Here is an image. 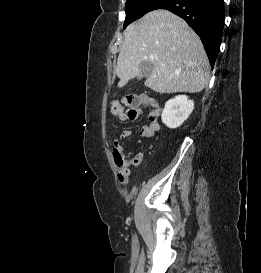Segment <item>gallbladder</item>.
Returning <instances> with one entry per match:
<instances>
[{
  "label": "gallbladder",
  "instance_id": "1",
  "mask_svg": "<svg viewBox=\"0 0 261 273\" xmlns=\"http://www.w3.org/2000/svg\"><path fill=\"white\" fill-rule=\"evenodd\" d=\"M154 69V65L149 62H142L140 65V72L137 79H142L143 77H148Z\"/></svg>",
  "mask_w": 261,
  "mask_h": 273
}]
</instances>
